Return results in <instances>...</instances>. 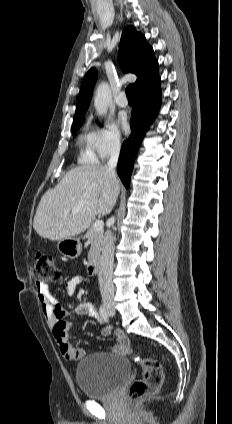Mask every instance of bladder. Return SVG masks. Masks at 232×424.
<instances>
[{
  "label": "bladder",
  "mask_w": 232,
  "mask_h": 424,
  "mask_svg": "<svg viewBox=\"0 0 232 424\" xmlns=\"http://www.w3.org/2000/svg\"><path fill=\"white\" fill-rule=\"evenodd\" d=\"M130 375L131 364L127 358L93 353L77 365L75 378L86 398L105 399L113 395Z\"/></svg>",
  "instance_id": "1"
}]
</instances>
